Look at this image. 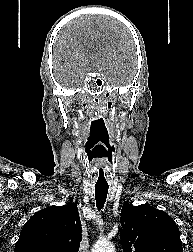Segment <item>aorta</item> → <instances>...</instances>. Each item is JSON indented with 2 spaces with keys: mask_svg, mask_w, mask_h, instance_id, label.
<instances>
[{
  "mask_svg": "<svg viewBox=\"0 0 193 252\" xmlns=\"http://www.w3.org/2000/svg\"><path fill=\"white\" fill-rule=\"evenodd\" d=\"M92 252H115V248L111 242L99 240L94 245Z\"/></svg>",
  "mask_w": 193,
  "mask_h": 252,
  "instance_id": "obj_1",
  "label": "aorta"
}]
</instances>
